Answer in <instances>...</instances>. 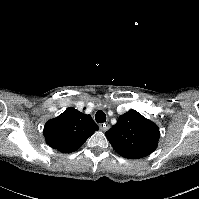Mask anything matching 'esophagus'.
I'll list each match as a JSON object with an SVG mask.
<instances>
[{"label":"esophagus","mask_w":199,"mask_h":199,"mask_svg":"<svg viewBox=\"0 0 199 199\" xmlns=\"http://www.w3.org/2000/svg\"><path fill=\"white\" fill-rule=\"evenodd\" d=\"M101 131H107L110 128L109 124L103 123L99 125Z\"/></svg>","instance_id":"esophagus-1"}]
</instances>
